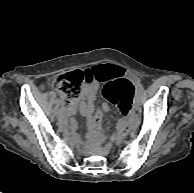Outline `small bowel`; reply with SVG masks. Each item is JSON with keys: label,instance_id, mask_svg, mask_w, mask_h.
I'll return each instance as SVG.
<instances>
[{"label": "small bowel", "instance_id": "c3829d8e", "mask_svg": "<svg viewBox=\"0 0 194 193\" xmlns=\"http://www.w3.org/2000/svg\"><path fill=\"white\" fill-rule=\"evenodd\" d=\"M120 74V69L114 66L90 68L86 73L85 84L80 98L69 103L64 100V116L60 120L61 126L69 132L74 131L76 124L73 121L69 122L68 117L73 116L78 110L87 119L90 131L101 129L103 114L109 112V106L103 104L101 109H95L97 89L103 83H111ZM120 124H123L122 121H120ZM104 151L106 152V149Z\"/></svg>", "mask_w": 194, "mask_h": 193}]
</instances>
